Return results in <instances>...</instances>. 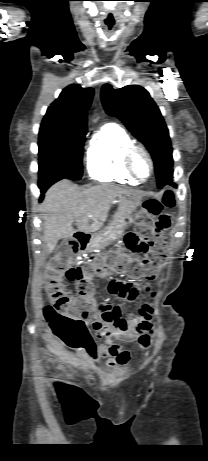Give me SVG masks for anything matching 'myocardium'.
Listing matches in <instances>:
<instances>
[{"mask_svg":"<svg viewBox=\"0 0 208 461\" xmlns=\"http://www.w3.org/2000/svg\"><path fill=\"white\" fill-rule=\"evenodd\" d=\"M139 154L143 155L147 159L149 165V172L146 177H142L134 166V160ZM124 164L128 173L140 182L147 181L154 172V161L152 156L149 151L142 145L132 144L130 147H128L124 155Z\"/></svg>","mask_w":208,"mask_h":461,"instance_id":"f54148a6","label":"myocardium"}]
</instances>
